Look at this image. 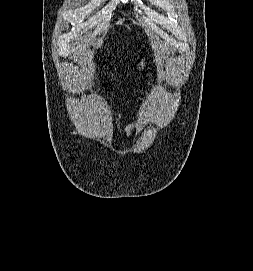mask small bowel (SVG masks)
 <instances>
[{
  "label": "small bowel",
  "instance_id": "c3829d8e",
  "mask_svg": "<svg viewBox=\"0 0 253 271\" xmlns=\"http://www.w3.org/2000/svg\"><path fill=\"white\" fill-rule=\"evenodd\" d=\"M140 132H142V128L139 125L131 124L127 126L124 131L123 141H132Z\"/></svg>",
  "mask_w": 253,
  "mask_h": 271
}]
</instances>
